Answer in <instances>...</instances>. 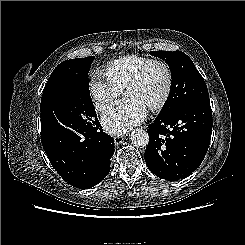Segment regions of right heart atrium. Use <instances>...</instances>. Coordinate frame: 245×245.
Instances as JSON below:
<instances>
[{
  "instance_id": "d8ad5b80",
  "label": "right heart atrium",
  "mask_w": 245,
  "mask_h": 245,
  "mask_svg": "<svg viewBox=\"0 0 245 245\" xmlns=\"http://www.w3.org/2000/svg\"><path fill=\"white\" fill-rule=\"evenodd\" d=\"M88 89L97 111L105 110L122 92L99 70L90 73Z\"/></svg>"
}]
</instances>
